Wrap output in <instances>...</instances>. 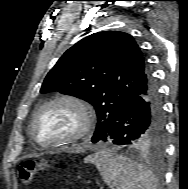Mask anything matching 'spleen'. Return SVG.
<instances>
[{"label":"spleen","mask_w":188,"mask_h":189,"mask_svg":"<svg viewBox=\"0 0 188 189\" xmlns=\"http://www.w3.org/2000/svg\"><path fill=\"white\" fill-rule=\"evenodd\" d=\"M84 162L94 164L103 181L115 189H156L152 173L125 156L101 150L87 156Z\"/></svg>","instance_id":"1"}]
</instances>
